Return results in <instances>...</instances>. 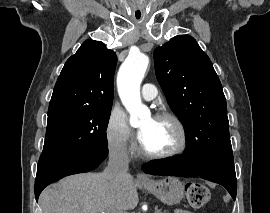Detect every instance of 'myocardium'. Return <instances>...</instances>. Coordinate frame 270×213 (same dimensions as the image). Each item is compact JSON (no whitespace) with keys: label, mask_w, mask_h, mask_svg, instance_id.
<instances>
[{"label":"myocardium","mask_w":270,"mask_h":213,"mask_svg":"<svg viewBox=\"0 0 270 213\" xmlns=\"http://www.w3.org/2000/svg\"><path fill=\"white\" fill-rule=\"evenodd\" d=\"M154 119L156 120H169L171 121L175 127L177 128L179 135H180V142L179 144L173 148L170 151L167 152H162V153H152L147 151L143 145H140V153L141 155L146 158V159H151V160H159V159H168V158H173L176 157L180 154H182L188 144V136H187V131L182 123V121L173 113L170 112H159L154 116Z\"/></svg>","instance_id":"myocardium-1"}]
</instances>
